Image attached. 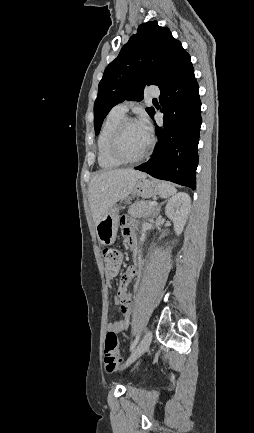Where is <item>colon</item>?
<instances>
[{"label": "colon", "instance_id": "colon-1", "mask_svg": "<svg viewBox=\"0 0 254 433\" xmlns=\"http://www.w3.org/2000/svg\"><path fill=\"white\" fill-rule=\"evenodd\" d=\"M102 257L106 273H117L121 262V252L116 248L107 247L103 249ZM104 364L109 373L115 372L123 364V360L119 357V341L113 331H108L105 336Z\"/></svg>", "mask_w": 254, "mask_h": 433}]
</instances>
